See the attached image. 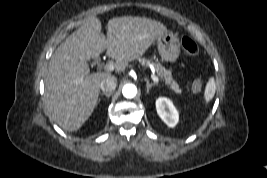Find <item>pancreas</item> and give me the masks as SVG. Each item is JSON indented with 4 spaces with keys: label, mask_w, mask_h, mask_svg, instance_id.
<instances>
[{
    "label": "pancreas",
    "mask_w": 267,
    "mask_h": 178,
    "mask_svg": "<svg viewBox=\"0 0 267 178\" xmlns=\"http://www.w3.org/2000/svg\"><path fill=\"white\" fill-rule=\"evenodd\" d=\"M143 63L148 64L151 63L161 80L165 81V84L170 87L172 91L177 94L182 93V90L179 88L178 83L173 79L171 71L166 69L158 62H152L151 60L143 59Z\"/></svg>",
    "instance_id": "obj_1"
}]
</instances>
